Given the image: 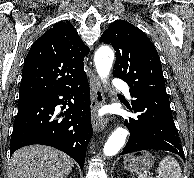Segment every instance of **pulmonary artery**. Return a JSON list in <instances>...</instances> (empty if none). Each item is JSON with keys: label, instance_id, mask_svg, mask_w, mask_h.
Wrapping results in <instances>:
<instances>
[{"label": "pulmonary artery", "instance_id": "1", "mask_svg": "<svg viewBox=\"0 0 194 178\" xmlns=\"http://www.w3.org/2000/svg\"><path fill=\"white\" fill-rule=\"evenodd\" d=\"M113 86L117 89H121L126 95L129 96L130 92H129V88L128 86L125 84L124 81L120 80V79H115L113 81Z\"/></svg>", "mask_w": 194, "mask_h": 178}]
</instances>
